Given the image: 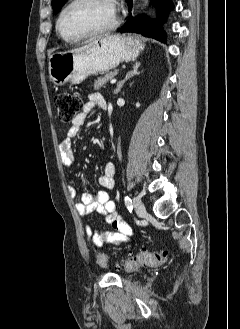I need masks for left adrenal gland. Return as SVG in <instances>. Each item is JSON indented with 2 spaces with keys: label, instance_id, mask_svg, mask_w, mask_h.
I'll list each match as a JSON object with an SVG mask.
<instances>
[{
  "label": "left adrenal gland",
  "instance_id": "left-adrenal-gland-1",
  "mask_svg": "<svg viewBox=\"0 0 240 329\" xmlns=\"http://www.w3.org/2000/svg\"><path fill=\"white\" fill-rule=\"evenodd\" d=\"M140 63L139 62H136L134 65H133V69L131 71H129L125 78L122 80V81H119L117 83V88L115 89L114 91V94H118L121 90V88L123 87L124 83L130 79L131 77H133L134 75H138L140 72L138 71L139 67H140Z\"/></svg>",
  "mask_w": 240,
  "mask_h": 329
}]
</instances>
